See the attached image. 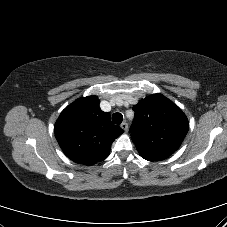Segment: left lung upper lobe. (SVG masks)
<instances>
[{"mask_svg": "<svg viewBox=\"0 0 227 227\" xmlns=\"http://www.w3.org/2000/svg\"><path fill=\"white\" fill-rule=\"evenodd\" d=\"M131 138L142 158H168L181 145L189 128L182 110L161 94H153L134 105Z\"/></svg>", "mask_w": 227, "mask_h": 227, "instance_id": "obj_1", "label": "left lung upper lobe"}]
</instances>
